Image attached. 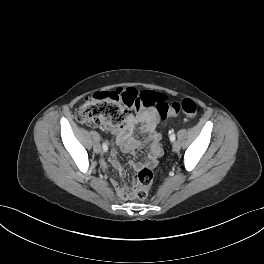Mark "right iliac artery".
<instances>
[{
	"mask_svg": "<svg viewBox=\"0 0 264 264\" xmlns=\"http://www.w3.org/2000/svg\"><path fill=\"white\" fill-rule=\"evenodd\" d=\"M102 147H103V150H104V151H107V150H108V146H107L106 143H103V144H102Z\"/></svg>",
	"mask_w": 264,
	"mask_h": 264,
	"instance_id": "obj_1",
	"label": "right iliac artery"
}]
</instances>
